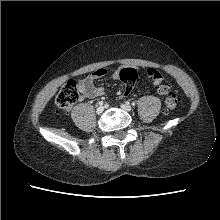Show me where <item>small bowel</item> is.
Listing matches in <instances>:
<instances>
[{
    "mask_svg": "<svg viewBox=\"0 0 220 220\" xmlns=\"http://www.w3.org/2000/svg\"><path fill=\"white\" fill-rule=\"evenodd\" d=\"M107 74V71L103 68H98L93 71L89 76L85 79L79 81V89L85 98H95L104 94V89L102 87L95 86V81L104 77ZM120 74V70L117 69L112 73L113 79H118ZM161 82L153 80V84L157 87ZM129 94H123L122 96L126 97Z\"/></svg>",
    "mask_w": 220,
    "mask_h": 220,
    "instance_id": "1",
    "label": "small bowel"
}]
</instances>
